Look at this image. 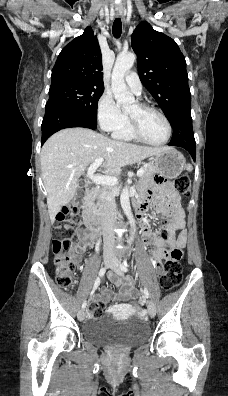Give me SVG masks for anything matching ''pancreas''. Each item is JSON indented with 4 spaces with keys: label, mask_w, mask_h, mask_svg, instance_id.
<instances>
[{
    "label": "pancreas",
    "mask_w": 228,
    "mask_h": 396,
    "mask_svg": "<svg viewBox=\"0 0 228 396\" xmlns=\"http://www.w3.org/2000/svg\"><path fill=\"white\" fill-rule=\"evenodd\" d=\"M144 173L142 178L149 177L157 172L156 167L152 163H147L143 166ZM116 189L112 186H104L101 190L97 191L94 195L96 204L94 205V211L96 214L102 216L104 212V200L110 196H115Z\"/></svg>",
    "instance_id": "obj_1"
}]
</instances>
